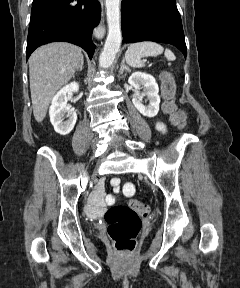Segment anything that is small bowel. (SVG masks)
<instances>
[{
  "label": "small bowel",
  "mask_w": 240,
  "mask_h": 288,
  "mask_svg": "<svg viewBox=\"0 0 240 288\" xmlns=\"http://www.w3.org/2000/svg\"><path fill=\"white\" fill-rule=\"evenodd\" d=\"M156 128L158 131H160L162 133L166 132V126L162 122H157ZM111 184L113 186L114 193H118L120 191L119 180L117 178L112 179ZM133 189H134L133 185L128 183L125 186L126 195H128V196L132 195ZM104 198H105L104 187H103V182L101 181L97 185L95 191L90 196L88 205L86 207V212L90 217H92V218L99 217L104 212V209H105V199ZM108 202L112 203L113 198H109Z\"/></svg>",
  "instance_id": "obj_1"
}]
</instances>
